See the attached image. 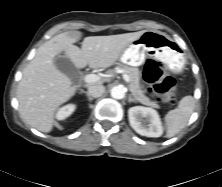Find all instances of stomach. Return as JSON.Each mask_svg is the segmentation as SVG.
Segmentation results:
<instances>
[{
  "label": "stomach",
  "mask_w": 222,
  "mask_h": 187,
  "mask_svg": "<svg viewBox=\"0 0 222 187\" xmlns=\"http://www.w3.org/2000/svg\"><path fill=\"white\" fill-rule=\"evenodd\" d=\"M150 56L163 62L168 70L179 74L184 70L186 57L178 43L165 33L147 30L131 42L121 53L120 61L130 66H140Z\"/></svg>",
  "instance_id": "0dacf381"
}]
</instances>
